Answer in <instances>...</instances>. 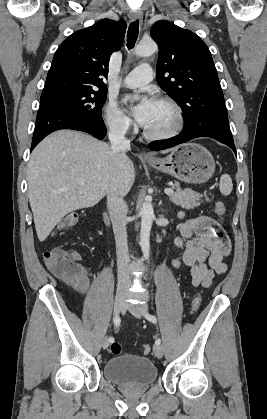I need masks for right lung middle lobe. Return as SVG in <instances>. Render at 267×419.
Listing matches in <instances>:
<instances>
[{"label":"right lung middle lobe","mask_w":267,"mask_h":419,"mask_svg":"<svg viewBox=\"0 0 267 419\" xmlns=\"http://www.w3.org/2000/svg\"><path fill=\"white\" fill-rule=\"evenodd\" d=\"M40 101L59 105L82 118L99 121L102 120L101 109L106 101V89H60L42 93Z\"/></svg>","instance_id":"right-lung-middle-lobe-1"}]
</instances>
